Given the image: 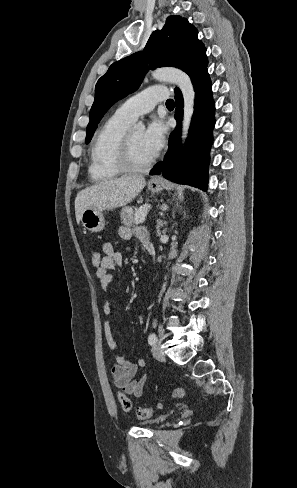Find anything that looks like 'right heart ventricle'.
Here are the masks:
<instances>
[{"instance_id":"1","label":"right heart ventricle","mask_w":297,"mask_h":488,"mask_svg":"<svg viewBox=\"0 0 297 488\" xmlns=\"http://www.w3.org/2000/svg\"><path fill=\"white\" fill-rule=\"evenodd\" d=\"M131 123L114 114L99 129L90 151L89 174L94 181H111L124 173L117 158L121 141Z\"/></svg>"}]
</instances>
